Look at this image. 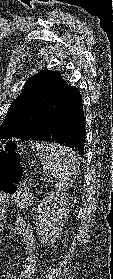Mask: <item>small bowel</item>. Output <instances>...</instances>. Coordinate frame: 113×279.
<instances>
[{
  "instance_id": "obj_1",
  "label": "small bowel",
  "mask_w": 113,
  "mask_h": 279,
  "mask_svg": "<svg viewBox=\"0 0 113 279\" xmlns=\"http://www.w3.org/2000/svg\"><path fill=\"white\" fill-rule=\"evenodd\" d=\"M13 202L21 208L27 207L31 204V195L26 192H19L15 195L8 196L0 193V231L4 227V221L6 219V210L3 205ZM14 233L17 234L21 243L24 246L25 258L21 268V271L18 274H12L5 272L2 275L4 279H32V276L36 272L37 266V254H36V245L35 237L33 234V229L30 226V223L22 218H17L13 223Z\"/></svg>"
}]
</instances>
